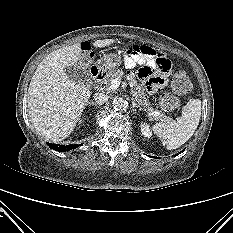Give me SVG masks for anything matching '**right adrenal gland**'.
I'll list each match as a JSON object with an SVG mask.
<instances>
[{"label": "right adrenal gland", "mask_w": 233, "mask_h": 233, "mask_svg": "<svg viewBox=\"0 0 233 233\" xmlns=\"http://www.w3.org/2000/svg\"><path fill=\"white\" fill-rule=\"evenodd\" d=\"M86 105H94L95 107H97V104L95 102H93V101L87 102Z\"/></svg>", "instance_id": "1"}]
</instances>
